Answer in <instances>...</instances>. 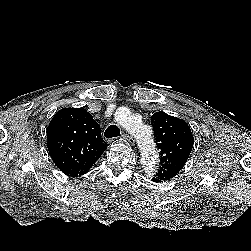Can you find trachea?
I'll list each match as a JSON object with an SVG mask.
<instances>
[{
  "mask_svg": "<svg viewBox=\"0 0 251 251\" xmlns=\"http://www.w3.org/2000/svg\"><path fill=\"white\" fill-rule=\"evenodd\" d=\"M104 136L106 138H114V137H118L120 136V130L119 128L116 126V125H110L105 133H104Z\"/></svg>",
  "mask_w": 251,
  "mask_h": 251,
  "instance_id": "3493384b",
  "label": "trachea"
}]
</instances>
